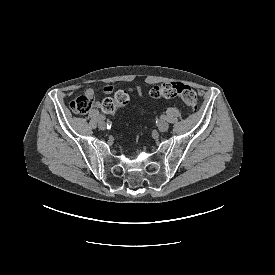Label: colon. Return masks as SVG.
Masks as SVG:
<instances>
[{
  "label": "colon",
  "instance_id": "obj_1",
  "mask_svg": "<svg viewBox=\"0 0 275 275\" xmlns=\"http://www.w3.org/2000/svg\"><path fill=\"white\" fill-rule=\"evenodd\" d=\"M150 95L153 98H179L192 111L198 110V99L195 90L179 81L164 82L154 86ZM129 94L124 90H118L113 97L104 98L101 102L103 113L108 116H113L118 108L125 107L129 104ZM94 104L92 97L83 95L75 98L71 103V110L76 114H86Z\"/></svg>",
  "mask_w": 275,
  "mask_h": 275
}]
</instances>
